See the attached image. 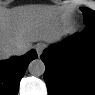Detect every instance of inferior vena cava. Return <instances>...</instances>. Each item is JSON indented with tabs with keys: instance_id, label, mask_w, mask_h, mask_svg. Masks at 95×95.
I'll return each instance as SVG.
<instances>
[{
	"instance_id": "obj_1",
	"label": "inferior vena cava",
	"mask_w": 95,
	"mask_h": 95,
	"mask_svg": "<svg viewBox=\"0 0 95 95\" xmlns=\"http://www.w3.org/2000/svg\"><path fill=\"white\" fill-rule=\"evenodd\" d=\"M27 52V47H25L24 45L21 44H16L12 49H11V53L13 55H23L24 53Z\"/></svg>"
}]
</instances>
